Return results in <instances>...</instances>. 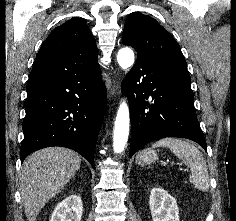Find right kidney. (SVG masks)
Listing matches in <instances>:
<instances>
[{"mask_svg":"<svg viewBox=\"0 0 236 221\" xmlns=\"http://www.w3.org/2000/svg\"><path fill=\"white\" fill-rule=\"evenodd\" d=\"M82 213L81 198L77 195H71L57 204L50 221H81Z\"/></svg>","mask_w":236,"mask_h":221,"instance_id":"ca27d5eb","label":"right kidney"}]
</instances>
